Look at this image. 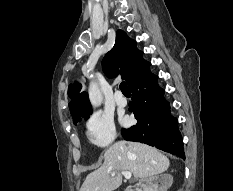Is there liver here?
<instances>
[{"mask_svg": "<svg viewBox=\"0 0 233 191\" xmlns=\"http://www.w3.org/2000/svg\"><path fill=\"white\" fill-rule=\"evenodd\" d=\"M169 166V159L151 146L118 141L105 150L104 163L87 175L80 191H114L122 183L118 171H129L143 179L163 173Z\"/></svg>", "mask_w": 233, "mask_h": 191, "instance_id": "1", "label": "liver"}]
</instances>
